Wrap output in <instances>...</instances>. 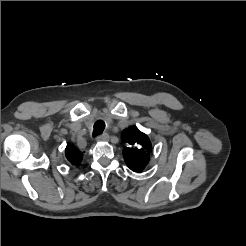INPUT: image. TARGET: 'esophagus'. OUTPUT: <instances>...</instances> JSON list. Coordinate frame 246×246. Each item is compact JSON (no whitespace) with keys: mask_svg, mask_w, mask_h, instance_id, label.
I'll use <instances>...</instances> for the list:
<instances>
[{"mask_svg":"<svg viewBox=\"0 0 246 246\" xmlns=\"http://www.w3.org/2000/svg\"><path fill=\"white\" fill-rule=\"evenodd\" d=\"M108 140H109V135L107 133H103L96 137V141H108Z\"/></svg>","mask_w":246,"mask_h":246,"instance_id":"obj_1","label":"esophagus"}]
</instances>
